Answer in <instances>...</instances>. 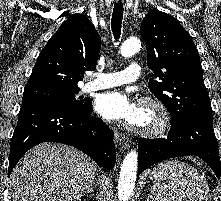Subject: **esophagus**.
Wrapping results in <instances>:
<instances>
[{"label":"esophagus","instance_id":"34e87169","mask_svg":"<svg viewBox=\"0 0 221 201\" xmlns=\"http://www.w3.org/2000/svg\"><path fill=\"white\" fill-rule=\"evenodd\" d=\"M119 1V0H117ZM114 137L116 142L120 145L122 149H128L130 147V139L125 134L118 132L117 130L114 131Z\"/></svg>","mask_w":221,"mask_h":201}]
</instances>
